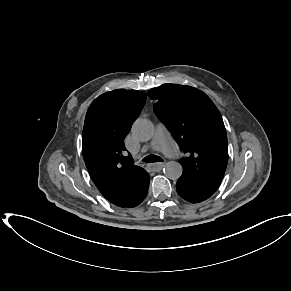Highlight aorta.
Masks as SVG:
<instances>
[{
  "label": "aorta",
  "mask_w": 291,
  "mask_h": 291,
  "mask_svg": "<svg viewBox=\"0 0 291 291\" xmlns=\"http://www.w3.org/2000/svg\"><path fill=\"white\" fill-rule=\"evenodd\" d=\"M154 125L147 119H137L132 126V134L139 141H148L154 135ZM182 165L176 161L165 164L164 173L172 180H176L182 175Z\"/></svg>",
  "instance_id": "762f6f07"
}]
</instances>
